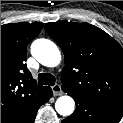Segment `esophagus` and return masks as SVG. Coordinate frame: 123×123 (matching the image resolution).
I'll list each match as a JSON object with an SVG mask.
<instances>
[{
	"mask_svg": "<svg viewBox=\"0 0 123 123\" xmlns=\"http://www.w3.org/2000/svg\"><path fill=\"white\" fill-rule=\"evenodd\" d=\"M52 91H53V94L54 96H60L62 95V89H61V86L59 84H55L52 86Z\"/></svg>",
	"mask_w": 123,
	"mask_h": 123,
	"instance_id": "1",
	"label": "esophagus"
}]
</instances>
